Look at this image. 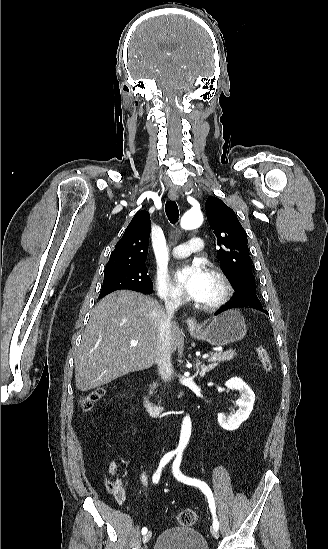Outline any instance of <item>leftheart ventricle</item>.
I'll use <instances>...</instances> for the list:
<instances>
[{
  "instance_id": "1",
  "label": "left heart ventricle",
  "mask_w": 328,
  "mask_h": 549,
  "mask_svg": "<svg viewBox=\"0 0 328 549\" xmlns=\"http://www.w3.org/2000/svg\"><path fill=\"white\" fill-rule=\"evenodd\" d=\"M201 268L207 270L209 267L205 265H199ZM211 269L209 268V271ZM221 293V284L220 282L211 274H209L207 287L205 290V293L203 297L199 300V302H210L215 300Z\"/></svg>"
}]
</instances>
